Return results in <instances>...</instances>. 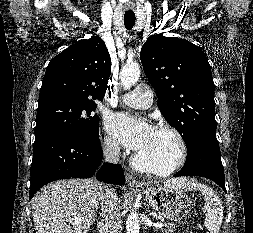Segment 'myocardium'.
Returning <instances> with one entry per match:
<instances>
[{"instance_id":"myocardium-1","label":"myocardium","mask_w":253,"mask_h":233,"mask_svg":"<svg viewBox=\"0 0 253 233\" xmlns=\"http://www.w3.org/2000/svg\"><path fill=\"white\" fill-rule=\"evenodd\" d=\"M155 130L170 133L177 141L179 146V155L177 160L167 168H159L142 162L136 154L132 157V165L135 169L157 176H168L180 169L188 158V146L183 134L173 125L169 123H159L154 126Z\"/></svg>"}]
</instances>
